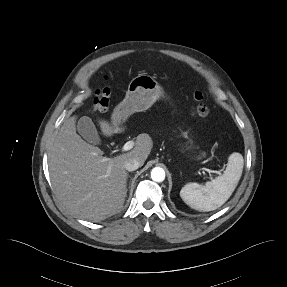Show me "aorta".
Wrapping results in <instances>:
<instances>
[{"instance_id":"762f6f07","label":"aorta","mask_w":287,"mask_h":287,"mask_svg":"<svg viewBox=\"0 0 287 287\" xmlns=\"http://www.w3.org/2000/svg\"><path fill=\"white\" fill-rule=\"evenodd\" d=\"M151 179L155 182H162L165 179V171L161 167H155L151 170Z\"/></svg>"}]
</instances>
